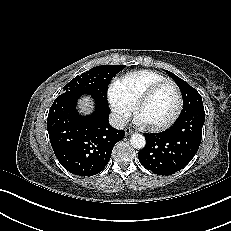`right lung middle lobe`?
<instances>
[{"mask_svg": "<svg viewBox=\"0 0 231 231\" xmlns=\"http://www.w3.org/2000/svg\"><path fill=\"white\" fill-rule=\"evenodd\" d=\"M124 68L125 65L96 66L72 79L63 89L66 92L76 90L79 93L90 94L98 101L108 105V85L112 78Z\"/></svg>", "mask_w": 231, "mask_h": 231, "instance_id": "obj_1", "label": "right lung middle lobe"}]
</instances>
